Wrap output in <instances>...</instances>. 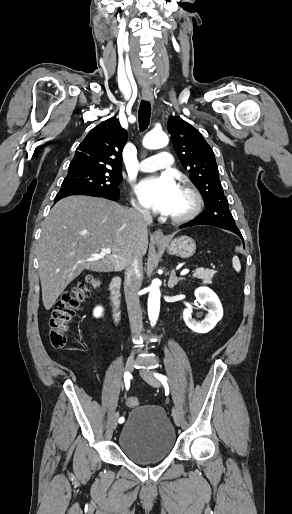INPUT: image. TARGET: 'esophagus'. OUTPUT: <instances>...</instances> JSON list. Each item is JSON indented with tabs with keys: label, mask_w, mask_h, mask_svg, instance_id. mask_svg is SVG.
<instances>
[{
	"label": "esophagus",
	"mask_w": 292,
	"mask_h": 514,
	"mask_svg": "<svg viewBox=\"0 0 292 514\" xmlns=\"http://www.w3.org/2000/svg\"><path fill=\"white\" fill-rule=\"evenodd\" d=\"M142 98L143 100H146L147 102H150L153 105L154 99L152 90H142ZM153 240L157 243H163L165 241V236L161 229L155 230V232L153 233Z\"/></svg>",
	"instance_id": "34e87169"
}]
</instances>
